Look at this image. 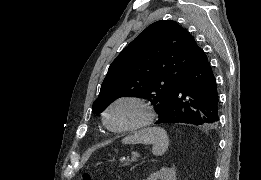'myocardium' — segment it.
<instances>
[{"label": "myocardium", "mask_w": 261, "mask_h": 180, "mask_svg": "<svg viewBox=\"0 0 261 180\" xmlns=\"http://www.w3.org/2000/svg\"><path fill=\"white\" fill-rule=\"evenodd\" d=\"M124 103L136 105L140 110L139 116L135 121H133L129 125L123 127H114L110 121L111 112L116 106ZM152 117L153 112L151 109V104L147 99L138 95L127 94L115 98L106 106L103 113V122L110 132L117 135H123L128 133H134L147 127L150 124Z\"/></svg>", "instance_id": "myocardium-1"}]
</instances>
